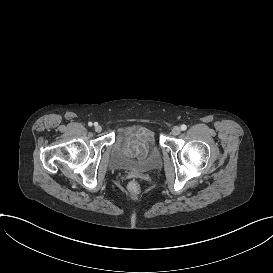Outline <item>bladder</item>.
Returning <instances> with one entry per match:
<instances>
[{"label": "bladder", "instance_id": "31cf9c89", "mask_svg": "<svg viewBox=\"0 0 273 273\" xmlns=\"http://www.w3.org/2000/svg\"><path fill=\"white\" fill-rule=\"evenodd\" d=\"M145 131L153 145L150 154L142 160H130L126 158L121 153V145L124 136L120 134L111 146L109 156V166L111 169L126 172L148 173L161 167V154L154 142L153 134L148 130Z\"/></svg>", "mask_w": 273, "mask_h": 273}]
</instances>
